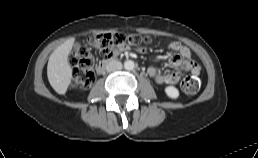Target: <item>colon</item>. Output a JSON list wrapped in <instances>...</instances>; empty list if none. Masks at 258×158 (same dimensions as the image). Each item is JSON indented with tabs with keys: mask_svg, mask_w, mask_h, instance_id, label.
I'll list each match as a JSON object with an SVG mask.
<instances>
[{
	"mask_svg": "<svg viewBox=\"0 0 258 158\" xmlns=\"http://www.w3.org/2000/svg\"><path fill=\"white\" fill-rule=\"evenodd\" d=\"M149 41V37L137 34L107 33L89 37L87 45L75 48L70 54L69 60L73 67L72 85L79 90H85L93 84L95 59L90 53L91 49L99 55L109 57L120 49L138 47ZM200 85V79L195 75L184 78L181 83L182 90L187 94L197 93Z\"/></svg>",
	"mask_w": 258,
	"mask_h": 158,
	"instance_id": "1",
	"label": "colon"
}]
</instances>
